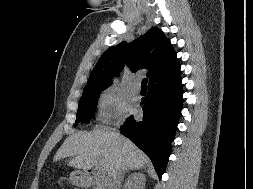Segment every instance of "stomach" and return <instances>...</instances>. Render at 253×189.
Here are the masks:
<instances>
[{
    "instance_id": "stomach-1",
    "label": "stomach",
    "mask_w": 253,
    "mask_h": 189,
    "mask_svg": "<svg viewBox=\"0 0 253 189\" xmlns=\"http://www.w3.org/2000/svg\"><path fill=\"white\" fill-rule=\"evenodd\" d=\"M70 182L75 185H86L90 179L85 171H74L70 174Z\"/></svg>"
}]
</instances>
